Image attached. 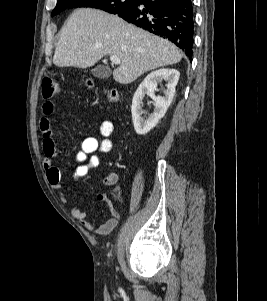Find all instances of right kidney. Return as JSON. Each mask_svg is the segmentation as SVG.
<instances>
[{
    "instance_id": "right-kidney-1",
    "label": "right kidney",
    "mask_w": 267,
    "mask_h": 301,
    "mask_svg": "<svg viewBox=\"0 0 267 301\" xmlns=\"http://www.w3.org/2000/svg\"><path fill=\"white\" fill-rule=\"evenodd\" d=\"M179 76L180 73L176 69H160L147 75L139 85L134 94L131 106L134 129L137 134H147L165 115L173 100ZM162 80L167 82V89L164 91V96H155L157 84ZM145 94L149 95L154 100L155 105L154 112L149 115L147 119L142 117V99Z\"/></svg>"
}]
</instances>
